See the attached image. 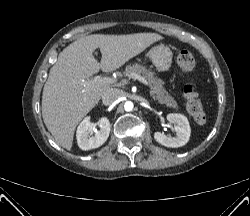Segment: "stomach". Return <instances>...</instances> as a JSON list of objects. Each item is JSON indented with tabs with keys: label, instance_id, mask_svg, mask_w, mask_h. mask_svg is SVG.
Returning a JSON list of instances; mask_svg holds the SVG:
<instances>
[{
	"label": "stomach",
	"instance_id": "obj_1",
	"mask_svg": "<svg viewBox=\"0 0 250 216\" xmlns=\"http://www.w3.org/2000/svg\"><path fill=\"white\" fill-rule=\"evenodd\" d=\"M148 57L159 71L166 72L170 70L173 53L167 46H155L149 51Z\"/></svg>",
	"mask_w": 250,
	"mask_h": 216
}]
</instances>
